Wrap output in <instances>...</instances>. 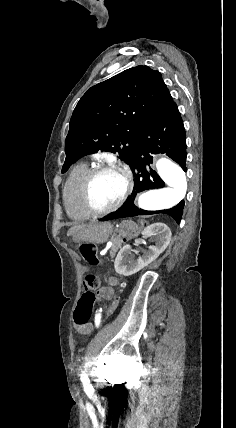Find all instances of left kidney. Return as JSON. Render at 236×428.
Returning a JSON list of instances; mask_svg holds the SVG:
<instances>
[{"label": "left kidney", "mask_w": 236, "mask_h": 428, "mask_svg": "<svg viewBox=\"0 0 236 428\" xmlns=\"http://www.w3.org/2000/svg\"><path fill=\"white\" fill-rule=\"evenodd\" d=\"M150 236L156 238V244L155 246H148V250H144L142 256H138V260H134L133 256H130L131 252H136V254H138L137 250H132V246H123V248H121L114 262V268L117 274H122V276H132V274H136V272H139V270H142V268L154 262L159 254H162V252L166 250L168 244H170L171 232L166 224L157 222V224H151V226L144 228L142 238H150ZM140 242H144V240H137L134 246H138Z\"/></svg>", "instance_id": "5707ae66"}]
</instances>
